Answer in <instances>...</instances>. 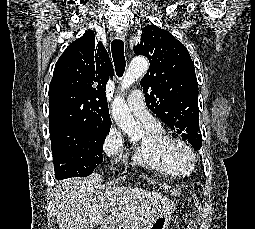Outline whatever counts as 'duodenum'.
Masks as SVG:
<instances>
[{
  "instance_id": "1",
  "label": "duodenum",
  "mask_w": 255,
  "mask_h": 229,
  "mask_svg": "<svg viewBox=\"0 0 255 229\" xmlns=\"http://www.w3.org/2000/svg\"><path fill=\"white\" fill-rule=\"evenodd\" d=\"M112 228H109V229H122V227L120 225H114V226H111Z\"/></svg>"
}]
</instances>
